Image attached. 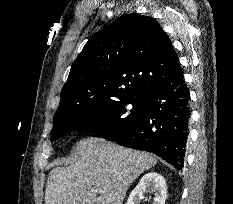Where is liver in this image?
<instances>
[{
	"instance_id": "1",
	"label": "liver",
	"mask_w": 233,
	"mask_h": 204,
	"mask_svg": "<svg viewBox=\"0 0 233 204\" xmlns=\"http://www.w3.org/2000/svg\"><path fill=\"white\" fill-rule=\"evenodd\" d=\"M74 151V163L50 171L45 204H122L133 181L157 163L149 153L100 138L80 140Z\"/></svg>"
}]
</instances>
